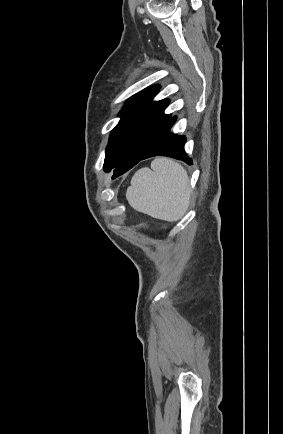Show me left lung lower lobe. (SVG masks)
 <instances>
[{
  "label": "left lung lower lobe",
  "instance_id": "left-lung-lower-lobe-1",
  "mask_svg": "<svg viewBox=\"0 0 283 434\" xmlns=\"http://www.w3.org/2000/svg\"><path fill=\"white\" fill-rule=\"evenodd\" d=\"M176 117L170 118L167 124L162 128L159 134L156 136L154 141L147 148L145 153L133 162L121 163L116 165L113 170V177L125 173L133 166H135L141 160L153 157V156H167L178 160H183L187 164H192V159L187 157L184 151V143L186 142V138L184 136H180L171 132V128L174 125Z\"/></svg>",
  "mask_w": 283,
  "mask_h": 434
}]
</instances>
